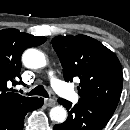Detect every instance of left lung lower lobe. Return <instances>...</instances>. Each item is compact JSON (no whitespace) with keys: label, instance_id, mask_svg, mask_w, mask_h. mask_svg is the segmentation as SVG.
Masks as SVG:
<instances>
[{"label":"left lung lower lobe","instance_id":"1","mask_svg":"<svg viewBox=\"0 0 130 130\" xmlns=\"http://www.w3.org/2000/svg\"><path fill=\"white\" fill-rule=\"evenodd\" d=\"M58 102L67 108L68 118L54 130H102L113 113L106 108L89 101L79 100L77 104L59 98Z\"/></svg>","mask_w":130,"mask_h":130}]
</instances>
